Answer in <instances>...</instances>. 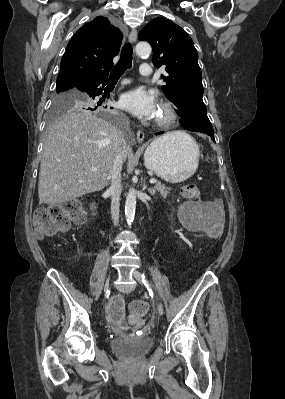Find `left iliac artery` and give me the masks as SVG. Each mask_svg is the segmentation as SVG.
Returning a JSON list of instances; mask_svg holds the SVG:
<instances>
[{"instance_id":"44dca946","label":"left iliac artery","mask_w":285,"mask_h":399,"mask_svg":"<svg viewBox=\"0 0 285 399\" xmlns=\"http://www.w3.org/2000/svg\"><path fill=\"white\" fill-rule=\"evenodd\" d=\"M141 276H142V281H143V283L146 285V283H148L147 277L145 276L144 273H143Z\"/></svg>"}]
</instances>
